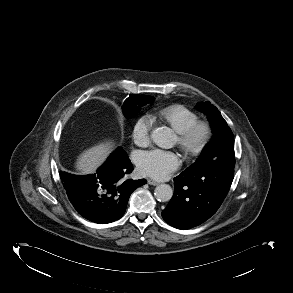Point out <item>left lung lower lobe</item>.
Returning a JSON list of instances; mask_svg holds the SVG:
<instances>
[{
	"label": "left lung lower lobe",
	"instance_id": "left-lung-lower-lobe-1",
	"mask_svg": "<svg viewBox=\"0 0 293 293\" xmlns=\"http://www.w3.org/2000/svg\"><path fill=\"white\" fill-rule=\"evenodd\" d=\"M234 166L219 170H185L174 178V195L162 211L163 219L178 229H189L209 219L220 207L233 181Z\"/></svg>",
	"mask_w": 293,
	"mask_h": 293
}]
</instances>
